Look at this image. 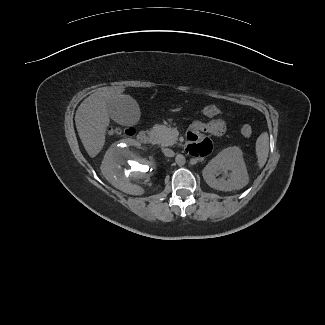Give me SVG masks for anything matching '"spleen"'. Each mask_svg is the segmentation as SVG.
<instances>
[{
	"label": "spleen",
	"instance_id": "3e777b00",
	"mask_svg": "<svg viewBox=\"0 0 325 325\" xmlns=\"http://www.w3.org/2000/svg\"><path fill=\"white\" fill-rule=\"evenodd\" d=\"M255 150L258 166L261 169L265 165L269 154V135L267 132H263L257 138Z\"/></svg>",
	"mask_w": 325,
	"mask_h": 325
}]
</instances>
